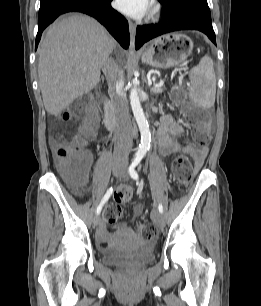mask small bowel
Here are the masks:
<instances>
[{"instance_id":"1","label":"small bowel","mask_w":261,"mask_h":306,"mask_svg":"<svg viewBox=\"0 0 261 306\" xmlns=\"http://www.w3.org/2000/svg\"><path fill=\"white\" fill-rule=\"evenodd\" d=\"M184 133V127L175 121L172 116L164 115L160 120L158 129V142L161 153L170 155L179 152L188 154L197 169H200L208 154L207 146H197L195 144L182 145L178 138ZM88 170L92 164V154L85 153Z\"/></svg>"}]
</instances>
